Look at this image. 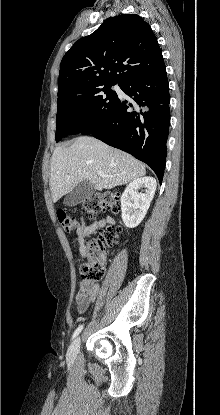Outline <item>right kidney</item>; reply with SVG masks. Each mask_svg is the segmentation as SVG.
<instances>
[{
    "instance_id": "right-kidney-1",
    "label": "right kidney",
    "mask_w": 220,
    "mask_h": 415,
    "mask_svg": "<svg viewBox=\"0 0 220 415\" xmlns=\"http://www.w3.org/2000/svg\"><path fill=\"white\" fill-rule=\"evenodd\" d=\"M145 188V193L138 192ZM156 191V180L142 177L127 185L121 196L122 220L126 227H137L145 217Z\"/></svg>"
}]
</instances>
